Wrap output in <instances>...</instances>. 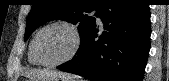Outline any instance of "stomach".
I'll list each match as a JSON object with an SVG mask.
<instances>
[{"label": "stomach", "mask_w": 169, "mask_h": 81, "mask_svg": "<svg viewBox=\"0 0 169 81\" xmlns=\"http://www.w3.org/2000/svg\"><path fill=\"white\" fill-rule=\"evenodd\" d=\"M34 81H74L73 79H64V78H49V79H39Z\"/></svg>", "instance_id": "stomach-1"}]
</instances>
